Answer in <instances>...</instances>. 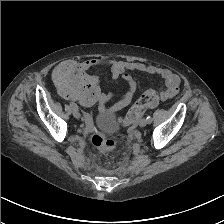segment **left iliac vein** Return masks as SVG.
<instances>
[{
    "label": "left iliac vein",
    "instance_id": "1",
    "mask_svg": "<svg viewBox=\"0 0 224 224\" xmlns=\"http://www.w3.org/2000/svg\"><path fill=\"white\" fill-rule=\"evenodd\" d=\"M148 121L146 118H142L139 122L140 127H145L147 125Z\"/></svg>",
    "mask_w": 224,
    "mask_h": 224
}]
</instances>
